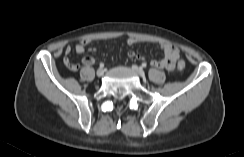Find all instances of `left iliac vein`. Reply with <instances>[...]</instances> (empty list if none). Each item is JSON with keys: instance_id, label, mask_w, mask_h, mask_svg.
Returning <instances> with one entry per match:
<instances>
[{"instance_id": "obj_1", "label": "left iliac vein", "mask_w": 244, "mask_h": 157, "mask_svg": "<svg viewBox=\"0 0 244 157\" xmlns=\"http://www.w3.org/2000/svg\"><path fill=\"white\" fill-rule=\"evenodd\" d=\"M132 70L141 77L145 75L143 69L138 67L137 65H132Z\"/></svg>"}]
</instances>
